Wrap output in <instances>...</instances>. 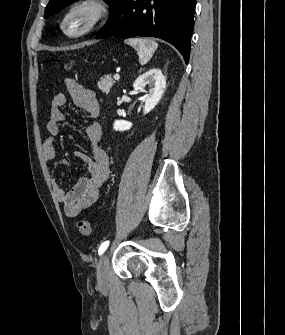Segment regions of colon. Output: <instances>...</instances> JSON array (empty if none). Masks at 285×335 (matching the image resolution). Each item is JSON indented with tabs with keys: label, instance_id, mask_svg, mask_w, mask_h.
Returning a JSON list of instances; mask_svg holds the SVG:
<instances>
[{
	"label": "colon",
	"instance_id": "1",
	"mask_svg": "<svg viewBox=\"0 0 285 335\" xmlns=\"http://www.w3.org/2000/svg\"><path fill=\"white\" fill-rule=\"evenodd\" d=\"M63 68L66 70V71H71L73 69V62L72 61H68V62H64L63 64ZM77 228H78V231L82 234V235H85V236H88L90 235L91 233V224L89 221L87 220H80L78 221L77 223Z\"/></svg>",
	"mask_w": 285,
	"mask_h": 335
}]
</instances>
